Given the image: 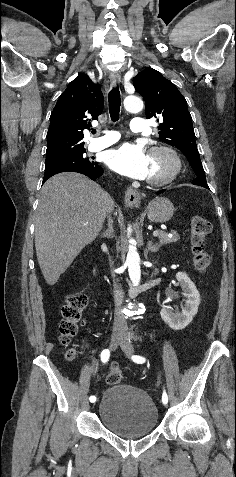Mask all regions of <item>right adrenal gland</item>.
<instances>
[{"label": "right adrenal gland", "instance_id": "2a0ac1e0", "mask_svg": "<svg viewBox=\"0 0 236 477\" xmlns=\"http://www.w3.org/2000/svg\"><path fill=\"white\" fill-rule=\"evenodd\" d=\"M114 229H113V220L109 216L108 218V229L101 235L102 237L111 238L113 236Z\"/></svg>", "mask_w": 236, "mask_h": 477}]
</instances>
